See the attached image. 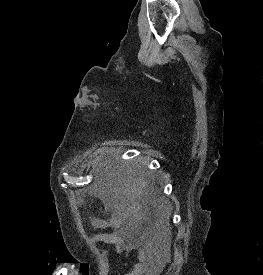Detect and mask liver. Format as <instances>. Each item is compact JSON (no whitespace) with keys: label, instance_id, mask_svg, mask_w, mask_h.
Listing matches in <instances>:
<instances>
[{"label":"liver","instance_id":"6515ba94","mask_svg":"<svg viewBox=\"0 0 263 275\" xmlns=\"http://www.w3.org/2000/svg\"><path fill=\"white\" fill-rule=\"evenodd\" d=\"M147 182L140 179L133 185L124 184L116 191V195H103L105 204L111 206L115 211L122 212L123 220L140 222L145 220L146 211L144 208L149 203L147 199ZM100 191V190H99ZM161 213L162 220H168L172 206L168 201L152 202Z\"/></svg>","mask_w":263,"mask_h":275}]
</instances>
